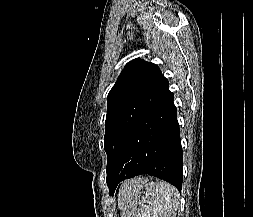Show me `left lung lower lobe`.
<instances>
[{
    "instance_id": "1",
    "label": "left lung lower lobe",
    "mask_w": 253,
    "mask_h": 217,
    "mask_svg": "<svg viewBox=\"0 0 253 217\" xmlns=\"http://www.w3.org/2000/svg\"><path fill=\"white\" fill-rule=\"evenodd\" d=\"M174 95L168 91L142 114L121 140L107 179L109 194L124 179L140 174L163 179L182 189L180 129Z\"/></svg>"
}]
</instances>
